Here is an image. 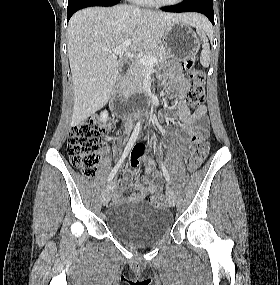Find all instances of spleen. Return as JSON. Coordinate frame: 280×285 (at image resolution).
I'll return each mask as SVG.
<instances>
[{
    "instance_id": "1",
    "label": "spleen",
    "mask_w": 280,
    "mask_h": 285,
    "mask_svg": "<svg viewBox=\"0 0 280 285\" xmlns=\"http://www.w3.org/2000/svg\"><path fill=\"white\" fill-rule=\"evenodd\" d=\"M197 33L203 42L202 51L200 56V63L203 67H209L210 64V45L208 43L207 34L210 32L211 27L208 22H204L196 27Z\"/></svg>"
}]
</instances>
